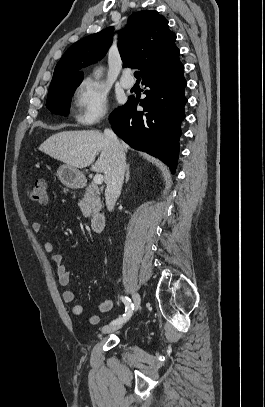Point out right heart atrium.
<instances>
[{
    "mask_svg": "<svg viewBox=\"0 0 265 407\" xmlns=\"http://www.w3.org/2000/svg\"><path fill=\"white\" fill-rule=\"evenodd\" d=\"M75 121L81 126H92L105 120L109 112L105 89L92 80L82 81L74 94Z\"/></svg>",
    "mask_w": 265,
    "mask_h": 407,
    "instance_id": "obj_1",
    "label": "right heart atrium"
}]
</instances>
